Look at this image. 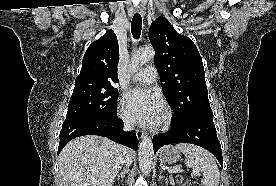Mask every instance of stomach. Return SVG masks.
Returning <instances> with one entry per match:
<instances>
[{
  "mask_svg": "<svg viewBox=\"0 0 276 186\" xmlns=\"http://www.w3.org/2000/svg\"><path fill=\"white\" fill-rule=\"evenodd\" d=\"M180 159V152L173 146H165L159 152V160L162 164L170 165Z\"/></svg>",
  "mask_w": 276,
  "mask_h": 186,
  "instance_id": "obj_1",
  "label": "stomach"
}]
</instances>
